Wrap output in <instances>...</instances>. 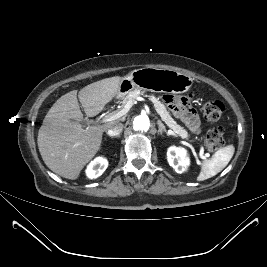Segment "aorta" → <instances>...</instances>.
<instances>
[{"instance_id": "obj_1", "label": "aorta", "mask_w": 267, "mask_h": 267, "mask_svg": "<svg viewBox=\"0 0 267 267\" xmlns=\"http://www.w3.org/2000/svg\"><path fill=\"white\" fill-rule=\"evenodd\" d=\"M133 129L139 132H147L150 129V119L147 115L141 114L134 118Z\"/></svg>"}]
</instances>
